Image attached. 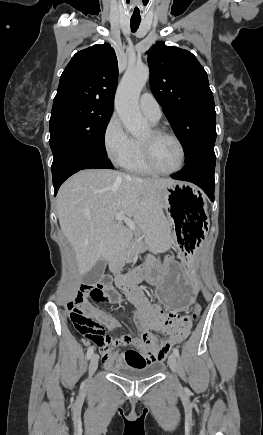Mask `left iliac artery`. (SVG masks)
I'll use <instances>...</instances> for the list:
<instances>
[{"instance_id": "1", "label": "left iliac artery", "mask_w": 263, "mask_h": 435, "mask_svg": "<svg viewBox=\"0 0 263 435\" xmlns=\"http://www.w3.org/2000/svg\"><path fill=\"white\" fill-rule=\"evenodd\" d=\"M173 353H174L177 357H179V351H178L177 348H174V349H173Z\"/></svg>"}]
</instances>
